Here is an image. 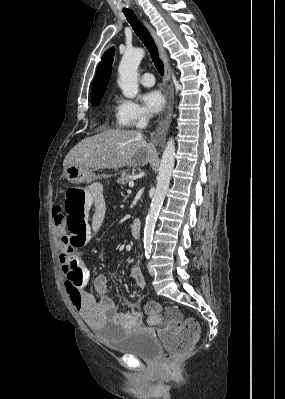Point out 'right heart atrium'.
<instances>
[{"label":"right heart atrium","mask_w":285,"mask_h":399,"mask_svg":"<svg viewBox=\"0 0 285 399\" xmlns=\"http://www.w3.org/2000/svg\"><path fill=\"white\" fill-rule=\"evenodd\" d=\"M117 103V122L122 127H133L148 118L146 110L133 100L119 97Z\"/></svg>","instance_id":"1"}]
</instances>
